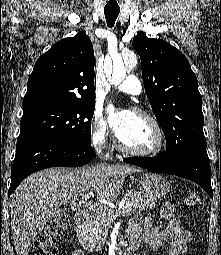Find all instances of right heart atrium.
<instances>
[{"label": "right heart atrium", "mask_w": 221, "mask_h": 255, "mask_svg": "<svg viewBox=\"0 0 221 255\" xmlns=\"http://www.w3.org/2000/svg\"><path fill=\"white\" fill-rule=\"evenodd\" d=\"M109 139V129L106 120L101 112L94 113L91 124V140L92 145L98 151L106 148Z\"/></svg>", "instance_id": "1"}]
</instances>
